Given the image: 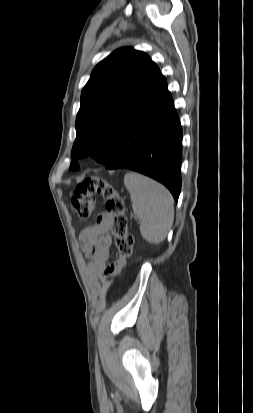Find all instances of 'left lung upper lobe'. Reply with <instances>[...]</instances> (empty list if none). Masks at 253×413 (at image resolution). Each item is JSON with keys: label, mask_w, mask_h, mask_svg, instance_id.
I'll use <instances>...</instances> for the list:
<instances>
[{"label": "left lung upper lobe", "mask_w": 253, "mask_h": 413, "mask_svg": "<svg viewBox=\"0 0 253 413\" xmlns=\"http://www.w3.org/2000/svg\"><path fill=\"white\" fill-rule=\"evenodd\" d=\"M164 79L148 55L131 47L101 61L82 90L72 155H91L105 166L111 162L119 150L124 122L141 112ZM70 168L79 169L76 159Z\"/></svg>", "instance_id": "1"}]
</instances>
